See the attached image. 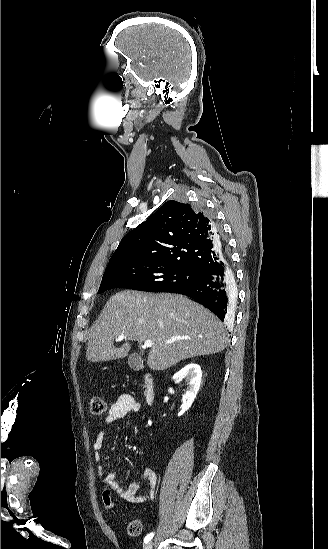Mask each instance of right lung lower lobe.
<instances>
[{"label":"right lung lower lobe","mask_w":328,"mask_h":549,"mask_svg":"<svg viewBox=\"0 0 328 549\" xmlns=\"http://www.w3.org/2000/svg\"><path fill=\"white\" fill-rule=\"evenodd\" d=\"M167 292L179 293L194 298L198 303L216 314L221 321L229 319V297L236 292L235 279L227 256L199 278Z\"/></svg>","instance_id":"98d812e1"}]
</instances>
